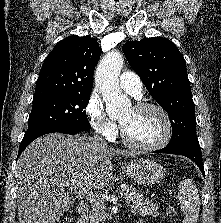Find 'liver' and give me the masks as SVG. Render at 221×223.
Listing matches in <instances>:
<instances>
[{"instance_id": "1", "label": "liver", "mask_w": 221, "mask_h": 223, "mask_svg": "<svg viewBox=\"0 0 221 223\" xmlns=\"http://www.w3.org/2000/svg\"><path fill=\"white\" fill-rule=\"evenodd\" d=\"M134 156L83 134L53 133L32 142L15 170L19 223H56L75 203L80 188L101 190L113 178L110 157Z\"/></svg>"}]
</instances>
